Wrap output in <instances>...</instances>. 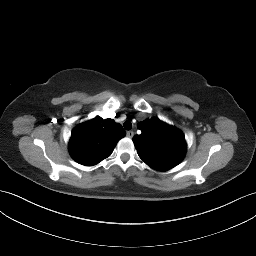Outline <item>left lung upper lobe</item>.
Returning <instances> with one entry per match:
<instances>
[{"label":"left lung upper lobe","mask_w":256,"mask_h":256,"mask_svg":"<svg viewBox=\"0 0 256 256\" xmlns=\"http://www.w3.org/2000/svg\"><path fill=\"white\" fill-rule=\"evenodd\" d=\"M142 131L133 137L139 157L151 168L167 171L178 165L186 153L183 133L157 118L137 125Z\"/></svg>","instance_id":"left-lung-upper-lobe-1"}]
</instances>
